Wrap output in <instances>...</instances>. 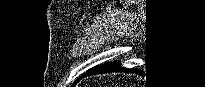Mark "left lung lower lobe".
<instances>
[{
  "label": "left lung lower lobe",
  "mask_w": 205,
  "mask_h": 87,
  "mask_svg": "<svg viewBox=\"0 0 205 87\" xmlns=\"http://www.w3.org/2000/svg\"><path fill=\"white\" fill-rule=\"evenodd\" d=\"M122 70L124 72H128V71L133 72V70L131 69L120 67L118 62L105 63L101 66H96V67L89 69L74 84H76L81 78H84L90 75L110 73V72H114V71L116 72V71H122Z\"/></svg>",
  "instance_id": "left-lung-lower-lobe-1"
}]
</instances>
